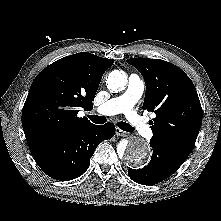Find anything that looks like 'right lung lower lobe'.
Segmentation results:
<instances>
[{
	"mask_svg": "<svg viewBox=\"0 0 221 221\" xmlns=\"http://www.w3.org/2000/svg\"><path fill=\"white\" fill-rule=\"evenodd\" d=\"M115 134L112 123L89 125L30 146L38 166L48 176L69 181L82 175L97 145Z\"/></svg>",
	"mask_w": 221,
	"mask_h": 221,
	"instance_id": "98d812e1",
	"label": "right lung lower lobe"
}]
</instances>
